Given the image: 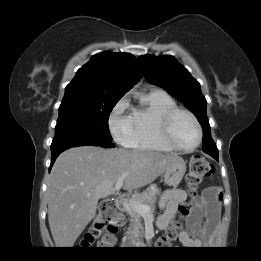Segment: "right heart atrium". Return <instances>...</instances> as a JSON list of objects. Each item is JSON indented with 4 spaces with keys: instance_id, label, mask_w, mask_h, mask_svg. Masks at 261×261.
<instances>
[{
    "instance_id": "1",
    "label": "right heart atrium",
    "mask_w": 261,
    "mask_h": 261,
    "mask_svg": "<svg viewBox=\"0 0 261 261\" xmlns=\"http://www.w3.org/2000/svg\"><path fill=\"white\" fill-rule=\"evenodd\" d=\"M127 107V99L125 97L121 98L109 117L110 131L114 139L123 145L129 144L133 133L130 116L125 114Z\"/></svg>"
}]
</instances>
